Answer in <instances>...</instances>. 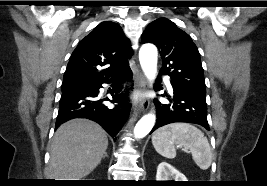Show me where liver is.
<instances>
[{"mask_svg":"<svg viewBox=\"0 0 267 186\" xmlns=\"http://www.w3.org/2000/svg\"><path fill=\"white\" fill-rule=\"evenodd\" d=\"M108 146L103 128L88 119L62 124L53 137L47 177L80 180L100 163Z\"/></svg>","mask_w":267,"mask_h":186,"instance_id":"1","label":"liver"}]
</instances>
